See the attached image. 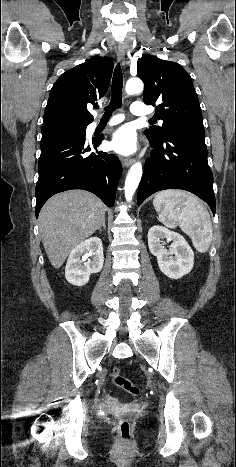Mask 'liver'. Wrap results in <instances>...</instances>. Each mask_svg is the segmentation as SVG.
<instances>
[{
  "mask_svg": "<svg viewBox=\"0 0 236 467\" xmlns=\"http://www.w3.org/2000/svg\"><path fill=\"white\" fill-rule=\"evenodd\" d=\"M105 219V205L94 194L69 190L52 196L39 215L42 243L56 269L70 252L95 233Z\"/></svg>",
  "mask_w": 236,
  "mask_h": 467,
  "instance_id": "liver-1",
  "label": "liver"
}]
</instances>
